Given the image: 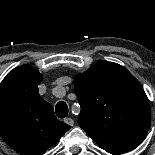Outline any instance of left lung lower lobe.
I'll use <instances>...</instances> for the list:
<instances>
[{
	"label": "left lung lower lobe",
	"mask_w": 155,
	"mask_h": 155,
	"mask_svg": "<svg viewBox=\"0 0 155 155\" xmlns=\"http://www.w3.org/2000/svg\"><path fill=\"white\" fill-rule=\"evenodd\" d=\"M140 143L141 142L139 141H129V142H124L117 145L105 146L102 148L111 154H120L136 148Z\"/></svg>",
	"instance_id": "obj_1"
}]
</instances>
